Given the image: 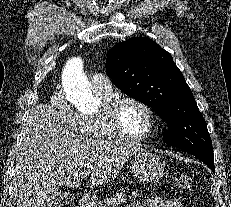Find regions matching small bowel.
<instances>
[{
	"label": "small bowel",
	"mask_w": 231,
	"mask_h": 207,
	"mask_svg": "<svg viewBox=\"0 0 231 207\" xmlns=\"http://www.w3.org/2000/svg\"><path fill=\"white\" fill-rule=\"evenodd\" d=\"M131 207H182L177 199H165L160 197H152L144 200L140 204Z\"/></svg>",
	"instance_id": "small-bowel-1"
}]
</instances>
